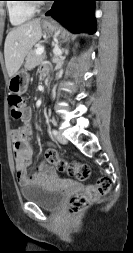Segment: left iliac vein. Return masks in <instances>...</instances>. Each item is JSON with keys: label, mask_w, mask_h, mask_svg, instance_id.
<instances>
[{"label": "left iliac vein", "mask_w": 133, "mask_h": 253, "mask_svg": "<svg viewBox=\"0 0 133 253\" xmlns=\"http://www.w3.org/2000/svg\"><path fill=\"white\" fill-rule=\"evenodd\" d=\"M56 139H57L61 144H66V143H67V139L65 138V136H64L61 132H58V134L56 135Z\"/></svg>", "instance_id": "4c4485c4"}]
</instances>
